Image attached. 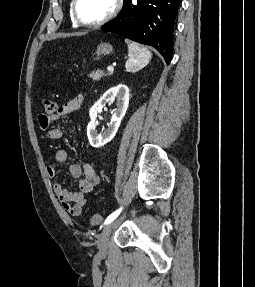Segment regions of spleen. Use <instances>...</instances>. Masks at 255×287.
<instances>
[{
    "label": "spleen",
    "instance_id": "spleen-1",
    "mask_svg": "<svg viewBox=\"0 0 255 287\" xmlns=\"http://www.w3.org/2000/svg\"><path fill=\"white\" fill-rule=\"evenodd\" d=\"M128 46L129 60L125 64L126 70L129 72H137L141 68H145L151 60V52L141 46V44H136V42H130V40H125Z\"/></svg>",
    "mask_w": 255,
    "mask_h": 287
}]
</instances>
